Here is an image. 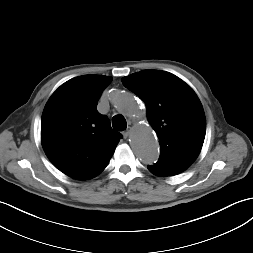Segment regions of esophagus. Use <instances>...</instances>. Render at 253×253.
<instances>
[{
  "label": "esophagus",
  "instance_id": "obj_1",
  "mask_svg": "<svg viewBox=\"0 0 253 253\" xmlns=\"http://www.w3.org/2000/svg\"><path fill=\"white\" fill-rule=\"evenodd\" d=\"M131 131H132V128H131V127H128V128L123 132V136H124L125 139L129 137Z\"/></svg>",
  "mask_w": 253,
  "mask_h": 253
}]
</instances>
